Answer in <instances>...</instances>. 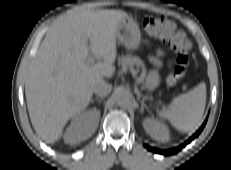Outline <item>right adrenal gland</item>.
Here are the masks:
<instances>
[{"mask_svg":"<svg viewBox=\"0 0 231 170\" xmlns=\"http://www.w3.org/2000/svg\"><path fill=\"white\" fill-rule=\"evenodd\" d=\"M103 98H104V97H100V98H99V97H96L95 100L98 101V103H100V102L103 100ZM93 102H94V99L91 100V103H93Z\"/></svg>","mask_w":231,"mask_h":170,"instance_id":"right-adrenal-gland-1","label":"right adrenal gland"}]
</instances>
